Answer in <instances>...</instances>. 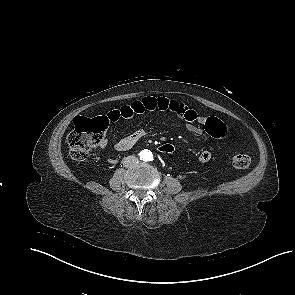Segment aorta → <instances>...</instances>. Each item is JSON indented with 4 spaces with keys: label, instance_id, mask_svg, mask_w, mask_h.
<instances>
[{
    "label": "aorta",
    "instance_id": "762f6f07",
    "mask_svg": "<svg viewBox=\"0 0 295 295\" xmlns=\"http://www.w3.org/2000/svg\"><path fill=\"white\" fill-rule=\"evenodd\" d=\"M144 161H151L153 159V155L150 151H146L143 154Z\"/></svg>",
    "mask_w": 295,
    "mask_h": 295
}]
</instances>
